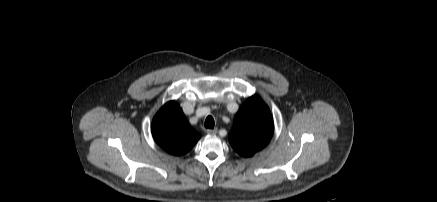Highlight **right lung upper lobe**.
Wrapping results in <instances>:
<instances>
[{"instance_id":"cb5924a9","label":"right lung upper lobe","mask_w":437,"mask_h":202,"mask_svg":"<svg viewBox=\"0 0 437 202\" xmlns=\"http://www.w3.org/2000/svg\"><path fill=\"white\" fill-rule=\"evenodd\" d=\"M151 132L155 142L172 155L189 152L200 139L175 101L167 102L155 115Z\"/></svg>"}]
</instances>
